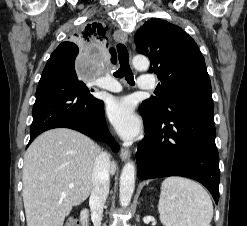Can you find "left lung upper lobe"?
<instances>
[{"label":"left lung upper lobe","mask_w":247,"mask_h":226,"mask_svg":"<svg viewBox=\"0 0 247 226\" xmlns=\"http://www.w3.org/2000/svg\"><path fill=\"white\" fill-rule=\"evenodd\" d=\"M134 40L137 51L150 59V72L160 80L159 97L142 102L143 113L162 116L176 98L212 94L204 58L195 41L180 27L154 18L145 22Z\"/></svg>","instance_id":"1"}]
</instances>
